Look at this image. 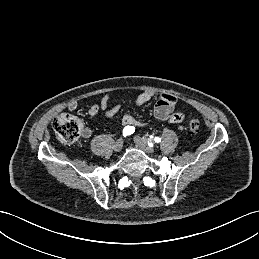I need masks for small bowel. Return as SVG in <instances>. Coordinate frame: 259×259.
Masks as SVG:
<instances>
[{"instance_id": "small-bowel-1", "label": "small bowel", "mask_w": 259, "mask_h": 259, "mask_svg": "<svg viewBox=\"0 0 259 259\" xmlns=\"http://www.w3.org/2000/svg\"><path fill=\"white\" fill-rule=\"evenodd\" d=\"M153 95L154 94L152 92H147V91L139 93L136 96L135 105L136 106L144 105L153 97ZM109 100H110L109 95L103 96L99 103H96L90 106V108L88 109V114L90 116H94L98 114V112L102 111L106 118H111L115 116L119 111V107L115 106L112 108H108ZM176 104H177V98L174 95L169 93L161 94L157 99L154 107L155 118L159 121L170 122L173 124H180L184 120V114L180 111H175ZM77 107H78V103L76 101H71L68 104V108L70 110H75L77 109ZM122 124L124 126H133V127L140 126V124L131 115H125L122 118ZM82 136L84 138H89L91 136V129L89 127H84L82 130Z\"/></svg>"}]
</instances>
